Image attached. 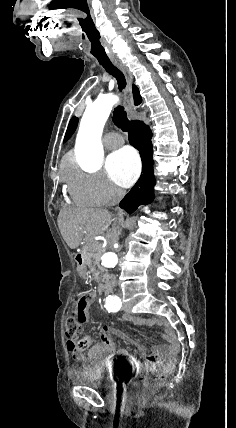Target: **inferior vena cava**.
<instances>
[{"mask_svg":"<svg viewBox=\"0 0 236 428\" xmlns=\"http://www.w3.org/2000/svg\"><path fill=\"white\" fill-rule=\"evenodd\" d=\"M112 190H114V192H117V194H119L120 190H118V188H114V186H112ZM121 196L123 194V192H120Z\"/></svg>","mask_w":236,"mask_h":428,"instance_id":"inferior-vena-cava-1","label":"inferior vena cava"}]
</instances>
